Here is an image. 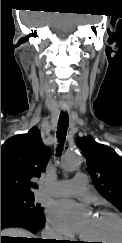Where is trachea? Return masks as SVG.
Returning a JSON list of instances; mask_svg holds the SVG:
<instances>
[{"mask_svg": "<svg viewBox=\"0 0 122 243\" xmlns=\"http://www.w3.org/2000/svg\"><path fill=\"white\" fill-rule=\"evenodd\" d=\"M68 125H69L68 114L62 111L59 117V123L57 128V137L61 142H63L66 137ZM61 147L62 145L59 148H57V150L61 151L62 150Z\"/></svg>", "mask_w": 122, "mask_h": 243, "instance_id": "1", "label": "trachea"}]
</instances>
